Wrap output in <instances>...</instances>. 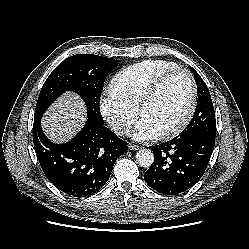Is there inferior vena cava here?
I'll use <instances>...</instances> for the list:
<instances>
[{"mask_svg":"<svg viewBox=\"0 0 249 249\" xmlns=\"http://www.w3.org/2000/svg\"><path fill=\"white\" fill-rule=\"evenodd\" d=\"M110 126L113 129V131L117 134H123L129 132V128L127 127V125L121 122H112Z\"/></svg>","mask_w":249,"mask_h":249,"instance_id":"obj_1","label":"inferior vena cava"}]
</instances>
